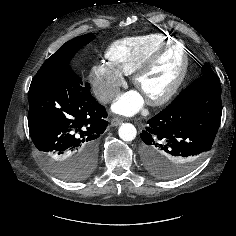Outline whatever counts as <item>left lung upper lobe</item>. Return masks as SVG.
Here are the masks:
<instances>
[{
  "mask_svg": "<svg viewBox=\"0 0 236 236\" xmlns=\"http://www.w3.org/2000/svg\"><path fill=\"white\" fill-rule=\"evenodd\" d=\"M202 73L204 74H210V73H214L213 70L210 68V65L208 63H206L203 68H202Z\"/></svg>",
  "mask_w": 236,
  "mask_h": 236,
  "instance_id": "obj_1",
  "label": "left lung upper lobe"
}]
</instances>
